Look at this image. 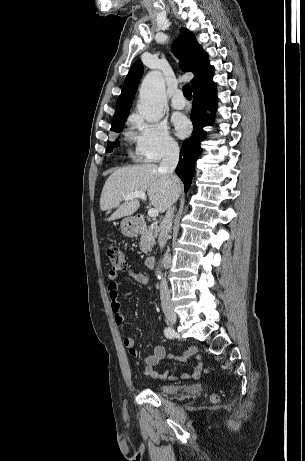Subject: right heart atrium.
<instances>
[{
    "mask_svg": "<svg viewBox=\"0 0 305 461\" xmlns=\"http://www.w3.org/2000/svg\"><path fill=\"white\" fill-rule=\"evenodd\" d=\"M131 126L130 136L135 142V153L139 160L156 162L178 151V144L164 122H147L133 116Z\"/></svg>",
    "mask_w": 305,
    "mask_h": 461,
    "instance_id": "1",
    "label": "right heart atrium"
}]
</instances>
